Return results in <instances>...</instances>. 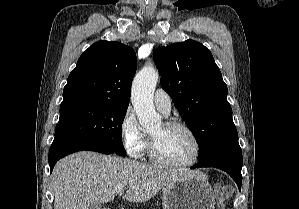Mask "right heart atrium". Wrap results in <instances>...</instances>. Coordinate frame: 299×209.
Segmentation results:
<instances>
[{"label":"right heart atrium","instance_id":"obj_1","mask_svg":"<svg viewBox=\"0 0 299 209\" xmlns=\"http://www.w3.org/2000/svg\"><path fill=\"white\" fill-rule=\"evenodd\" d=\"M120 134L125 150L133 158H140L148 139L140 127L134 112L128 109L120 123Z\"/></svg>","mask_w":299,"mask_h":209}]
</instances>
